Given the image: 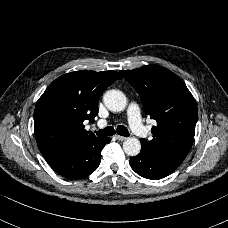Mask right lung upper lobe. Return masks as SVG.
Wrapping results in <instances>:
<instances>
[{
  "mask_svg": "<svg viewBox=\"0 0 228 228\" xmlns=\"http://www.w3.org/2000/svg\"><path fill=\"white\" fill-rule=\"evenodd\" d=\"M116 71H77L54 80L37 101L34 111L35 136L41 154L47 155L95 135L83 121H94L98 100L117 79Z\"/></svg>",
  "mask_w": 228,
  "mask_h": 228,
  "instance_id": "1",
  "label": "right lung upper lobe"
}]
</instances>
